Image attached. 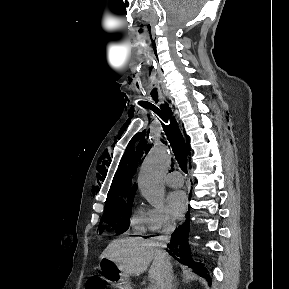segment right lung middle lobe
Wrapping results in <instances>:
<instances>
[{
  "instance_id": "1",
  "label": "right lung middle lobe",
  "mask_w": 289,
  "mask_h": 289,
  "mask_svg": "<svg viewBox=\"0 0 289 289\" xmlns=\"http://www.w3.org/2000/svg\"><path fill=\"white\" fill-rule=\"evenodd\" d=\"M133 198L121 202H106L104 214L99 225L100 233H102L104 230L101 226L103 222H106L110 226L115 227L118 233L124 232L129 228L130 209L133 203Z\"/></svg>"
}]
</instances>
